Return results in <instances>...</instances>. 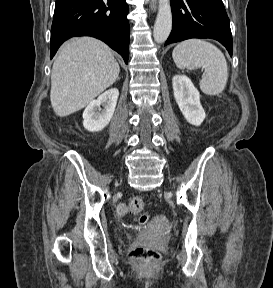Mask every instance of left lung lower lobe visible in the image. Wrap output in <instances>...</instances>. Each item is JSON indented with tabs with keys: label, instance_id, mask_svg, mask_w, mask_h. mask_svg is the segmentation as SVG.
Here are the masks:
<instances>
[{
	"label": "left lung lower lobe",
	"instance_id": "0a47b994",
	"mask_svg": "<svg viewBox=\"0 0 273 288\" xmlns=\"http://www.w3.org/2000/svg\"><path fill=\"white\" fill-rule=\"evenodd\" d=\"M173 26L165 45L189 38H212L232 56V34L222 0H171Z\"/></svg>",
	"mask_w": 273,
	"mask_h": 288
}]
</instances>
